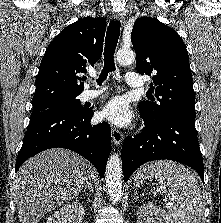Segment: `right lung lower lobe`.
<instances>
[{
    "label": "right lung lower lobe",
    "instance_id": "right-lung-lower-lobe-1",
    "mask_svg": "<svg viewBox=\"0 0 221 223\" xmlns=\"http://www.w3.org/2000/svg\"><path fill=\"white\" fill-rule=\"evenodd\" d=\"M93 108L77 113L56 112L31 119L16 160V171L30 157L49 148H66L89 160L101 177L111 149L107 122L91 125Z\"/></svg>",
    "mask_w": 221,
    "mask_h": 223
}]
</instances>
